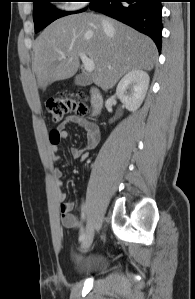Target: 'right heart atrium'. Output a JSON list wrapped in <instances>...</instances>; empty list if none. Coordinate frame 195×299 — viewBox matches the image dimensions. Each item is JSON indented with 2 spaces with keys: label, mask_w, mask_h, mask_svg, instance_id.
Returning a JSON list of instances; mask_svg holds the SVG:
<instances>
[{
  "label": "right heart atrium",
  "mask_w": 195,
  "mask_h": 299,
  "mask_svg": "<svg viewBox=\"0 0 195 299\" xmlns=\"http://www.w3.org/2000/svg\"><path fill=\"white\" fill-rule=\"evenodd\" d=\"M69 2L70 3L68 4L67 8L70 10H77L83 5V2L81 0H72Z\"/></svg>",
  "instance_id": "1"
}]
</instances>
